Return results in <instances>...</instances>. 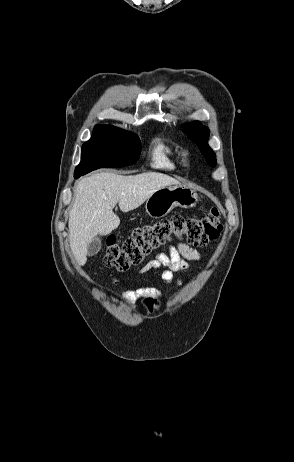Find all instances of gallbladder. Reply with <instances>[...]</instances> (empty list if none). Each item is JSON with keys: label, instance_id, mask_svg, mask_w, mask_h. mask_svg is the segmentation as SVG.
I'll return each mask as SVG.
<instances>
[{"label": "gallbladder", "instance_id": "bac80fb5", "mask_svg": "<svg viewBox=\"0 0 294 462\" xmlns=\"http://www.w3.org/2000/svg\"><path fill=\"white\" fill-rule=\"evenodd\" d=\"M101 249V239L99 236L94 237L93 240L89 243L87 249L88 256H95Z\"/></svg>", "mask_w": 294, "mask_h": 462}]
</instances>
